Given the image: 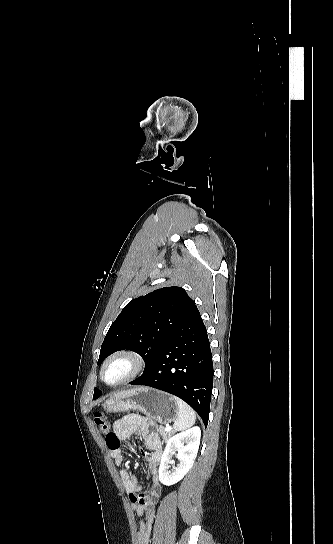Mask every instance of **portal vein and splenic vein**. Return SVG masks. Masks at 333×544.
Masks as SVG:
<instances>
[{"mask_svg":"<svg viewBox=\"0 0 333 544\" xmlns=\"http://www.w3.org/2000/svg\"><path fill=\"white\" fill-rule=\"evenodd\" d=\"M171 430H172V427L170 425H166L165 431H171Z\"/></svg>","mask_w":333,"mask_h":544,"instance_id":"portal-vein-and-splenic-vein-1","label":"portal vein and splenic vein"}]
</instances>
